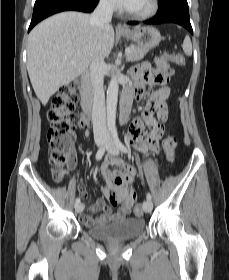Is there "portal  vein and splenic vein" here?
<instances>
[{
    "mask_svg": "<svg viewBox=\"0 0 229 280\" xmlns=\"http://www.w3.org/2000/svg\"><path fill=\"white\" fill-rule=\"evenodd\" d=\"M131 48H127L126 50H125V53H126V55H129L130 53H131ZM72 63L74 62V60H72L71 61Z\"/></svg>",
    "mask_w": 229,
    "mask_h": 280,
    "instance_id": "obj_1",
    "label": "portal vein and splenic vein"
}]
</instances>
